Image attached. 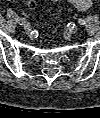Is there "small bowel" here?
Wrapping results in <instances>:
<instances>
[{"label":"small bowel","instance_id":"obj_1","mask_svg":"<svg viewBox=\"0 0 100 118\" xmlns=\"http://www.w3.org/2000/svg\"><path fill=\"white\" fill-rule=\"evenodd\" d=\"M10 1V0H6ZM52 2H57L59 0H51ZM72 4L77 10L84 11L92 6L93 0H67Z\"/></svg>","mask_w":100,"mask_h":118}]
</instances>
